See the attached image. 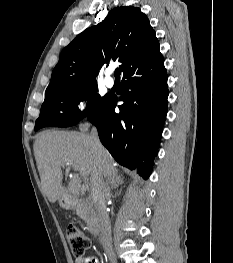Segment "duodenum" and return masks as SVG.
<instances>
[{"label": "duodenum", "instance_id": "duodenum-1", "mask_svg": "<svg viewBox=\"0 0 233 263\" xmlns=\"http://www.w3.org/2000/svg\"><path fill=\"white\" fill-rule=\"evenodd\" d=\"M62 200L64 201L65 206L69 209H76L81 205V202L79 200L69 196L66 193L62 195ZM89 230L93 236L95 237L99 236L100 224L98 220L96 219V217L94 216H91L89 218Z\"/></svg>", "mask_w": 233, "mask_h": 263}]
</instances>
